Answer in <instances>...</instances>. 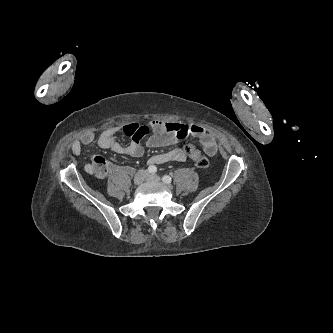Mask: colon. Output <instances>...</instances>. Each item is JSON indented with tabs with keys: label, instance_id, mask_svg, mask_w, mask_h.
I'll return each instance as SVG.
<instances>
[{
	"label": "colon",
	"instance_id": "obj_1",
	"mask_svg": "<svg viewBox=\"0 0 333 333\" xmlns=\"http://www.w3.org/2000/svg\"><path fill=\"white\" fill-rule=\"evenodd\" d=\"M195 146L193 144H187L185 147H184V152L187 154V155H192L195 151ZM195 165L199 168H205L208 166L209 164V160H208V157L204 156V155H196L193 159Z\"/></svg>",
	"mask_w": 333,
	"mask_h": 333
}]
</instances>
